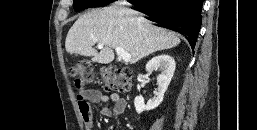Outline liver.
<instances>
[{
	"label": "liver",
	"instance_id": "obj_1",
	"mask_svg": "<svg viewBox=\"0 0 257 130\" xmlns=\"http://www.w3.org/2000/svg\"><path fill=\"white\" fill-rule=\"evenodd\" d=\"M96 43L104 47L98 52ZM180 39L166 29L156 27L130 9L106 7L80 16L68 31L66 51L91 57L93 62L109 64L114 60L113 49L120 47L131 56L130 63L156 51L176 47Z\"/></svg>",
	"mask_w": 257,
	"mask_h": 130
}]
</instances>
